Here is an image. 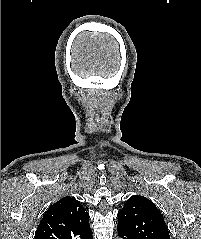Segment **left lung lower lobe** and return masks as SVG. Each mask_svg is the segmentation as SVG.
<instances>
[{
  "mask_svg": "<svg viewBox=\"0 0 201 239\" xmlns=\"http://www.w3.org/2000/svg\"><path fill=\"white\" fill-rule=\"evenodd\" d=\"M118 230V235L122 238V239H137L136 236H134L132 233H129L128 231L117 227Z\"/></svg>",
  "mask_w": 201,
  "mask_h": 239,
  "instance_id": "1",
  "label": "left lung lower lobe"
}]
</instances>
